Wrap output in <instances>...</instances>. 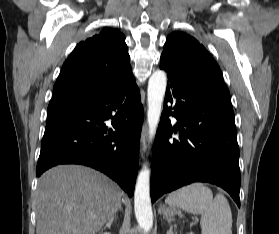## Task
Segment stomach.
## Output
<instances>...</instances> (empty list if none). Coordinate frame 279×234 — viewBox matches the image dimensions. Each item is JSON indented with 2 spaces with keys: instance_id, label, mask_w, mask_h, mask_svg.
Wrapping results in <instances>:
<instances>
[{
  "instance_id": "stomach-1",
  "label": "stomach",
  "mask_w": 279,
  "mask_h": 234,
  "mask_svg": "<svg viewBox=\"0 0 279 234\" xmlns=\"http://www.w3.org/2000/svg\"><path fill=\"white\" fill-rule=\"evenodd\" d=\"M161 212L165 217L169 218L177 214V209L174 206L163 207L161 208Z\"/></svg>"
}]
</instances>
